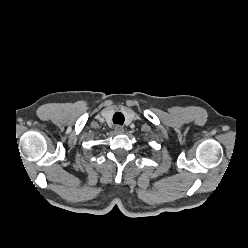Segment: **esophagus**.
<instances>
[{"mask_svg":"<svg viewBox=\"0 0 248 248\" xmlns=\"http://www.w3.org/2000/svg\"><path fill=\"white\" fill-rule=\"evenodd\" d=\"M114 131H115V133H117V134H122V133L124 132V129H123L122 126L117 125V126H115Z\"/></svg>","mask_w":248,"mask_h":248,"instance_id":"obj_1","label":"esophagus"}]
</instances>
